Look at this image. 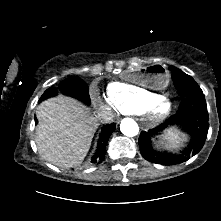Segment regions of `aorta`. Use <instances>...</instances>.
Listing matches in <instances>:
<instances>
[{"label":"aorta","mask_w":221,"mask_h":221,"mask_svg":"<svg viewBox=\"0 0 221 221\" xmlns=\"http://www.w3.org/2000/svg\"><path fill=\"white\" fill-rule=\"evenodd\" d=\"M120 131L128 137H134L139 133L138 124L131 118H125L121 121Z\"/></svg>","instance_id":"1"}]
</instances>
